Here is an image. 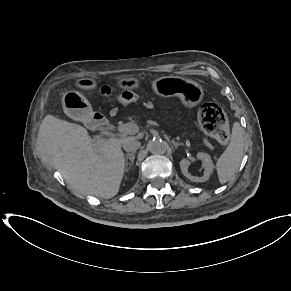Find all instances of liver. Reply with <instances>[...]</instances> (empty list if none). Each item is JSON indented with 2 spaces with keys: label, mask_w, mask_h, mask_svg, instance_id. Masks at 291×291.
<instances>
[{
  "label": "liver",
  "mask_w": 291,
  "mask_h": 291,
  "mask_svg": "<svg viewBox=\"0 0 291 291\" xmlns=\"http://www.w3.org/2000/svg\"><path fill=\"white\" fill-rule=\"evenodd\" d=\"M135 139L94 142L84 127L47 115L40 126L37 150L77 192L110 199L119 192L125 172L121 146Z\"/></svg>",
  "instance_id": "6515ba94"
}]
</instances>
